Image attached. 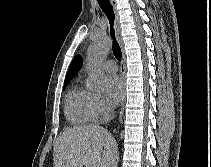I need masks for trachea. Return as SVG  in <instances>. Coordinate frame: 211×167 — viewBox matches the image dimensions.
I'll return each mask as SVG.
<instances>
[{
	"mask_svg": "<svg viewBox=\"0 0 211 167\" xmlns=\"http://www.w3.org/2000/svg\"><path fill=\"white\" fill-rule=\"evenodd\" d=\"M97 1L100 5L102 11L105 13V15L107 16V18L109 20L110 34L113 39V46H112L113 53H114L116 59L120 62L122 53H121L120 46L118 45L117 41L115 40V31L113 28L115 15H114L113 7L109 0H97Z\"/></svg>",
	"mask_w": 211,
	"mask_h": 167,
	"instance_id": "1",
	"label": "trachea"
}]
</instances>
